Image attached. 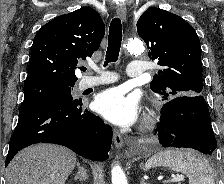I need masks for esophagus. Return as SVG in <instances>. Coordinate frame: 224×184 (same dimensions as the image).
Wrapping results in <instances>:
<instances>
[{
  "instance_id": "1",
  "label": "esophagus",
  "mask_w": 224,
  "mask_h": 184,
  "mask_svg": "<svg viewBox=\"0 0 224 184\" xmlns=\"http://www.w3.org/2000/svg\"><path fill=\"white\" fill-rule=\"evenodd\" d=\"M116 13L121 18L122 21L126 20L127 10L125 5L123 4L117 5ZM113 139H114V144L117 148H121L123 146L124 144L123 137L119 133V131L116 129H114L113 131Z\"/></svg>"
}]
</instances>
